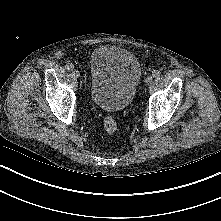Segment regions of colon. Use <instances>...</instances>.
I'll return each instance as SVG.
<instances>
[{
    "label": "colon",
    "mask_w": 221,
    "mask_h": 221,
    "mask_svg": "<svg viewBox=\"0 0 221 221\" xmlns=\"http://www.w3.org/2000/svg\"><path fill=\"white\" fill-rule=\"evenodd\" d=\"M104 130L107 134L112 135L116 132L118 125L115 118L111 115H107L103 121Z\"/></svg>",
    "instance_id": "colon-1"
}]
</instances>
